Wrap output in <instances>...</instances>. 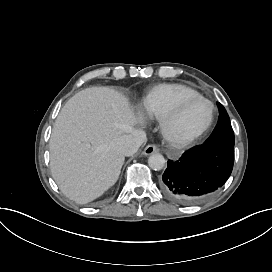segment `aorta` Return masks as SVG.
Returning <instances> with one entry per match:
<instances>
[{
  "instance_id": "1",
  "label": "aorta",
  "mask_w": 272,
  "mask_h": 272,
  "mask_svg": "<svg viewBox=\"0 0 272 272\" xmlns=\"http://www.w3.org/2000/svg\"><path fill=\"white\" fill-rule=\"evenodd\" d=\"M148 165L153 170H161L165 166V159L160 153H155L148 158Z\"/></svg>"
}]
</instances>
